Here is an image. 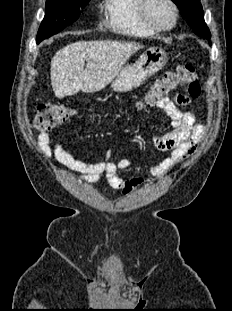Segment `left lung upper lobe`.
Here are the masks:
<instances>
[{
    "mask_svg": "<svg viewBox=\"0 0 232 311\" xmlns=\"http://www.w3.org/2000/svg\"><path fill=\"white\" fill-rule=\"evenodd\" d=\"M180 9L193 31L204 38H210V31L204 21V13L200 0H172Z\"/></svg>",
    "mask_w": 232,
    "mask_h": 311,
    "instance_id": "left-lung-upper-lobe-1",
    "label": "left lung upper lobe"
}]
</instances>
